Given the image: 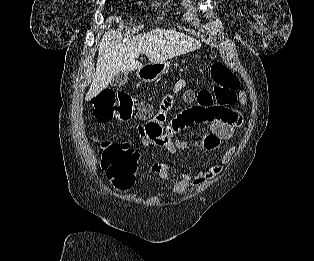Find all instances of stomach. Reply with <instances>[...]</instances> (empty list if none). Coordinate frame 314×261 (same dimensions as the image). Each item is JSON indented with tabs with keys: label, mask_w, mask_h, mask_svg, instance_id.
<instances>
[{
	"label": "stomach",
	"mask_w": 314,
	"mask_h": 261,
	"mask_svg": "<svg viewBox=\"0 0 314 261\" xmlns=\"http://www.w3.org/2000/svg\"><path fill=\"white\" fill-rule=\"evenodd\" d=\"M168 61L148 63L137 70V77L144 83H151L162 77L168 70Z\"/></svg>",
	"instance_id": "obj_1"
}]
</instances>
